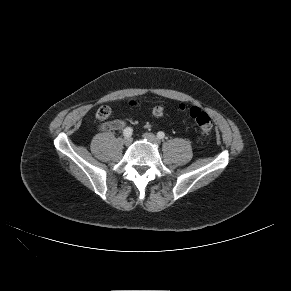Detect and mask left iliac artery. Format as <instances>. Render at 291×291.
Returning a JSON list of instances; mask_svg holds the SVG:
<instances>
[{"mask_svg": "<svg viewBox=\"0 0 291 291\" xmlns=\"http://www.w3.org/2000/svg\"><path fill=\"white\" fill-rule=\"evenodd\" d=\"M157 137H158L159 139H163V138L165 137L164 132L159 131V132L157 133Z\"/></svg>", "mask_w": 291, "mask_h": 291, "instance_id": "44dca946", "label": "left iliac artery"}]
</instances>
